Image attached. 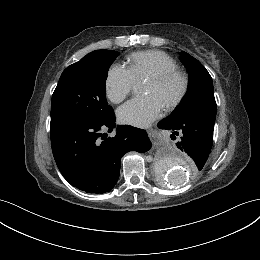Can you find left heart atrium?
Returning a JSON list of instances; mask_svg holds the SVG:
<instances>
[{
    "label": "left heart atrium",
    "instance_id": "obj_1",
    "mask_svg": "<svg viewBox=\"0 0 260 260\" xmlns=\"http://www.w3.org/2000/svg\"><path fill=\"white\" fill-rule=\"evenodd\" d=\"M162 108L163 103L154 95L137 97L119 108L118 117L126 124L146 126L159 116Z\"/></svg>",
    "mask_w": 260,
    "mask_h": 260
}]
</instances>
